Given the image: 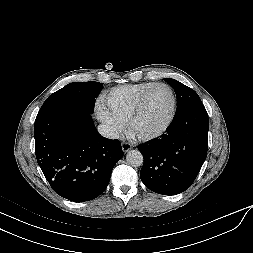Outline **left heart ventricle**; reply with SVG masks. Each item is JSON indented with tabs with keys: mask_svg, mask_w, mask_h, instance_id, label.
<instances>
[{
	"mask_svg": "<svg viewBox=\"0 0 253 253\" xmlns=\"http://www.w3.org/2000/svg\"><path fill=\"white\" fill-rule=\"evenodd\" d=\"M172 112V96L168 88L159 86L146 98L144 107L133 128L137 132H151L161 128Z\"/></svg>",
	"mask_w": 253,
	"mask_h": 253,
	"instance_id": "1",
	"label": "left heart ventricle"
}]
</instances>
